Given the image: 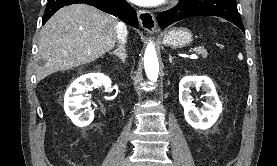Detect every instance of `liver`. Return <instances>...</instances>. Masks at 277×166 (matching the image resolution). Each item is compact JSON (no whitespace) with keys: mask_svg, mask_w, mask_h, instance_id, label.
<instances>
[{"mask_svg":"<svg viewBox=\"0 0 277 166\" xmlns=\"http://www.w3.org/2000/svg\"><path fill=\"white\" fill-rule=\"evenodd\" d=\"M118 20L85 4L65 6L44 25L38 43V59L44 65L37 80L94 62L115 45Z\"/></svg>","mask_w":277,"mask_h":166,"instance_id":"1","label":"liver"}]
</instances>
